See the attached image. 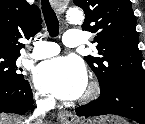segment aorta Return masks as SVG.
Returning a JSON list of instances; mask_svg holds the SVG:
<instances>
[{
  "label": "aorta",
  "mask_w": 145,
  "mask_h": 124,
  "mask_svg": "<svg viewBox=\"0 0 145 124\" xmlns=\"http://www.w3.org/2000/svg\"><path fill=\"white\" fill-rule=\"evenodd\" d=\"M66 16L71 23H80L84 19L83 13L78 9H69Z\"/></svg>",
  "instance_id": "762f6f07"
}]
</instances>
